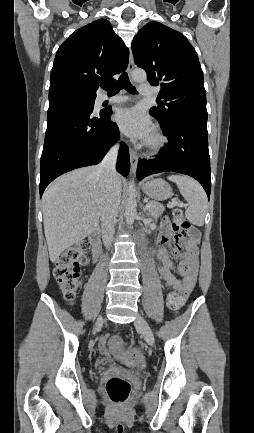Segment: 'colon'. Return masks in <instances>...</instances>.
I'll return each instance as SVG.
<instances>
[{"label": "colon", "mask_w": 254, "mask_h": 433, "mask_svg": "<svg viewBox=\"0 0 254 433\" xmlns=\"http://www.w3.org/2000/svg\"><path fill=\"white\" fill-rule=\"evenodd\" d=\"M172 224L177 230H181L187 235L196 236L197 231L191 227L185 219L182 211L176 209L172 214ZM86 252V246L71 247L65 250L58 259L54 276L59 284L62 295L68 302H73L76 294L82 286L80 265ZM183 305L180 295L176 291L168 294L167 306L170 310L176 311ZM111 344L120 348L122 343L119 337H112ZM122 360L130 366H142L144 360L138 352L129 351L123 354ZM105 391L113 403L125 402L130 393L131 385L128 381L119 377L110 378L105 384Z\"/></svg>", "instance_id": "1"}]
</instances>
